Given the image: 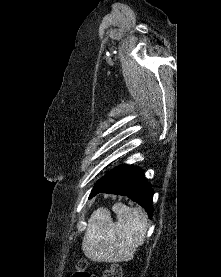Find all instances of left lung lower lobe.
Segmentation results:
<instances>
[{
	"label": "left lung lower lobe",
	"mask_w": 221,
	"mask_h": 277,
	"mask_svg": "<svg viewBox=\"0 0 221 277\" xmlns=\"http://www.w3.org/2000/svg\"><path fill=\"white\" fill-rule=\"evenodd\" d=\"M101 192L125 195L140 204L149 217H152L153 190L144 176V171L139 167L127 165L114 176L95 184L90 198Z\"/></svg>",
	"instance_id": "1"
}]
</instances>
